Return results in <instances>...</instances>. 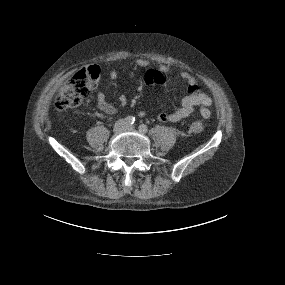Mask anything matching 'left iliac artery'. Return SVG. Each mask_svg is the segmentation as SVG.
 <instances>
[{
	"instance_id": "obj_1",
	"label": "left iliac artery",
	"mask_w": 285,
	"mask_h": 285,
	"mask_svg": "<svg viewBox=\"0 0 285 285\" xmlns=\"http://www.w3.org/2000/svg\"><path fill=\"white\" fill-rule=\"evenodd\" d=\"M139 131H140V132H143V133L147 132V126L144 125V124H141V125L139 126Z\"/></svg>"
}]
</instances>
